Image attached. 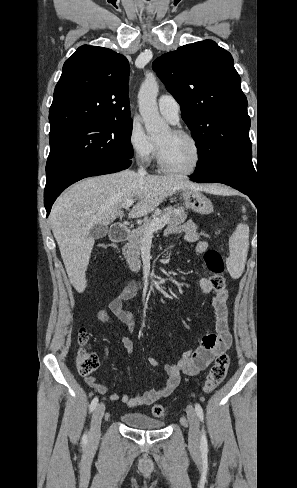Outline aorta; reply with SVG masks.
Instances as JSON below:
<instances>
[{
	"mask_svg": "<svg viewBox=\"0 0 297 488\" xmlns=\"http://www.w3.org/2000/svg\"><path fill=\"white\" fill-rule=\"evenodd\" d=\"M159 86L152 73L146 74L138 93L139 111L147 134L157 136L167 130L168 125L161 118L156 103Z\"/></svg>",
	"mask_w": 297,
	"mask_h": 488,
	"instance_id": "762f6f07",
	"label": "aorta"
}]
</instances>
